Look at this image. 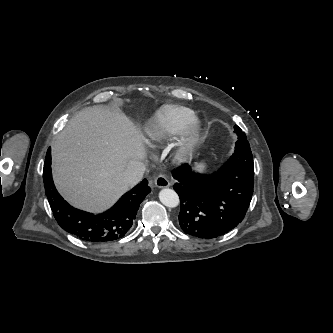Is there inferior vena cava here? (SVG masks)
<instances>
[{"label": "inferior vena cava", "instance_id": "obj_1", "mask_svg": "<svg viewBox=\"0 0 333 333\" xmlns=\"http://www.w3.org/2000/svg\"><path fill=\"white\" fill-rule=\"evenodd\" d=\"M146 171V166L140 161H133L128 168L123 172V182L128 186H134L143 177Z\"/></svg>", "mask_w": 333, "mask_h": 333}]
</instances>
